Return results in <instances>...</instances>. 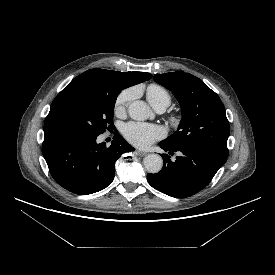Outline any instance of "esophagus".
I'll use <instances>...</instances> for the list:
<instances>
[{
  "instance_id": "1",
  "label": "esophagus",
  "mask_w": 275,
  "mask_h": 275,
  "mask_svg": "<svg viewBox=\"0 0 275 275\" xmlns=\"http://www.w3.org/2000/svg\"><path fill=\"white\" fill-rule=\"evenodd\" d=\"M136 153H137L139 156H141V157H143V156H146V155H147V153H146V152L141 151V150H137V151H136Z\"/></svg>"
}]
</instances>
